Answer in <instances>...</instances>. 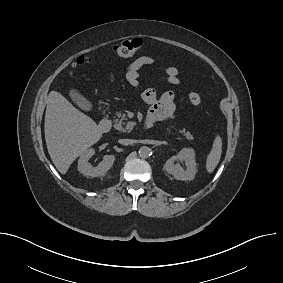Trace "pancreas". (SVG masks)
Listing matches in <instances>:
<instances>
[{"label":"pancreas","instance_id":"pancreas-1","mask_svg":"<svg viewBox=\"0 0 283 283\" xmlns=\"http://www.w3.org/2000/svg\"><path fill=\"white\" fill-rule=\"evenodd\" d=\"M116 116L118 118H116L114 120L115 124H114V128L121 131V132H126V131H130L132 130L133 126H134V123L133 122H127L125 128L123 127V125L125 124L124 121L127 120L125 114H121V113H116ZM171 128H174L173 126ZM170 130V129H168ZM181 134H183L188 140H193V136L192 134L189 132V131H185L184 129L183 130H180L179 131Z\"/></svg>","mask_w":283,"mask_h":283}]
</instances>
